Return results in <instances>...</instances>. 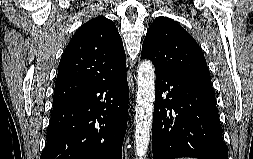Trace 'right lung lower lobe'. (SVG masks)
Segmentation results:
<instances>
[{
	"instance_id": "1",
	"label": "right lung lower lobe",
	"mask_w": 253,
	"mask_h": 159,
	"mask_svg": "<svg viewBox=\"0 0 253 159\" xmlns=\"http://www.w3.org/2000/svg\"><path fill=\"white\" fill-rule=\"evenodd\" d=\"M128 98L125 69L53 109L40 159H122Z\"/></svg>"
}]
</instances>
